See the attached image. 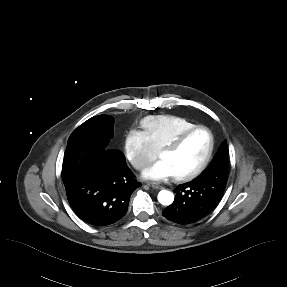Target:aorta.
<instances>
[{
    "instance_id": "obj_1",
    "label": "aorta",
    "mask_w": 287,
    "mask_h": 287,
    "mask_svg": "<svg viewBox=\"0 0 287 287\" xmlns=\"http://www.w3.org/2000/svg\"><path fill=\"white\" fill-rule=\"evenodd\" d=\"M157 198H158V201L160 204H162L164 206H169L174 201V194L168 190H161L158 193Z\"/></svg>"
}]
</instances>
